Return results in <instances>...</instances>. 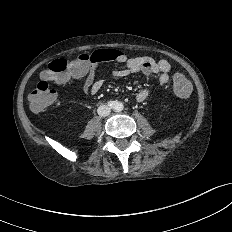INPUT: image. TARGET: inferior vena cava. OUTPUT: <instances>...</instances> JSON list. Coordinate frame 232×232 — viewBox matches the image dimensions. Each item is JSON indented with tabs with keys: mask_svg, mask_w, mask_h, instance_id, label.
Returning <instances> with one entry per match:
<instances>
[{
	"mask_svg": "<svg viewBox=\"0 0 232 232\" xmlns=\"http://www.w3.org/2000/svg\"><path fill=\"white\" fill-rule=\"evenodd\" d=\"M97 112L99 116L106 117L110 114L111 109L107 105L102 104L98 107Z\"/></svg>",
	"mask_w": 232,
	"mask_h": 232,
	"instance_id": "inferior-vena-cava-1",
	"label": "inferior vena cava"
}]
</instances>
